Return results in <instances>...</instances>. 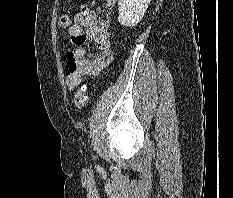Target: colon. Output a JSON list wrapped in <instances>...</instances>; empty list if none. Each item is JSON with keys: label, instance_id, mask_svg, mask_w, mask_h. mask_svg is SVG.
<instances>
[{"label": "colon", "instance_id": "colon-1", "mask_svg": "<svg viewBox=\"0 0 233 198\" xmlns=\"http://www.w3.org/2000/svg\"><path fill=\"white\" fill-rule=\"evenodd\" d=\"M70 18L67 15H62L58 19V25L59 27L63 29H67L70 26ZM71 64L70 67L71 69L75 68L74 62H72V58H70ZM87 102V90L85 86L80 87L77 92L75 93L74 96V104L77 108H83Z\"/></svg>", "mask_w": 233, "mask_h": 198}]
</instances>
